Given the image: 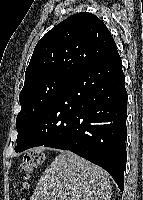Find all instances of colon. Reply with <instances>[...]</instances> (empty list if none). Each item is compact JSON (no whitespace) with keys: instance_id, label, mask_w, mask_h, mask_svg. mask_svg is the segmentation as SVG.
Listing matches in <instances>:
<instances>
[{"instance_id":"5ec220e1","label":"colon","mask_w":143,"mask_h":200,"mask_svg":"<svg viewBox=\"0 0 143 200\" xmlns=\"http://www.w3.org/2000/svg\"><path fill=\"white\" fill-rule=\"evenodd\" d=\"M44 161V155L39 151H29L25 154L21 166L20 177L24 180L27 179L31 173L36 171ZM26 183L22 182L21 187L25 188Z\"/></svg>"}]
</instances>
